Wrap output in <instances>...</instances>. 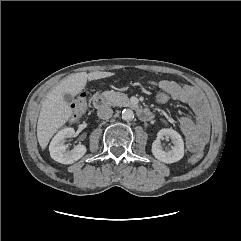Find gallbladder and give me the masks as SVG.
<instances>
[{
    "instance_id": "1",
    "label": "gallbladder",
    "mask_w": 241,
    "mask_h": 241,
    "mask_svg": "<svg viewBox=\"0 0 241 241\" xmlns=\"http://www.w3.org/2000/svg\"><path fill=\"white\" fill-rule=\"evenodd\" d=\"M63 97L67 104H71L74 101V97L71 94H64Z\"/></svg>"
}]
</instances>
